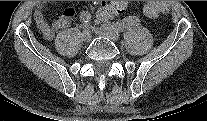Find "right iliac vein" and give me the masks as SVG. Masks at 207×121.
<instances>
[{"instance_id": "right-iliac-vein-1", "label": "right iliac vein", "mask_w": 207, "mask_h": 121, "mask_svg": "<svg viewBox=\"0 0 207 121\" xmlns=\"http://www.w3.org/2000/svg\"><path fill=\"white\" fill-rule=\"evenodd\" d=\"M91 38H92V35H91V32L89 29H85L83 31V40L85 42H90L91 41Z\"/></svg>"}]
</instances>
